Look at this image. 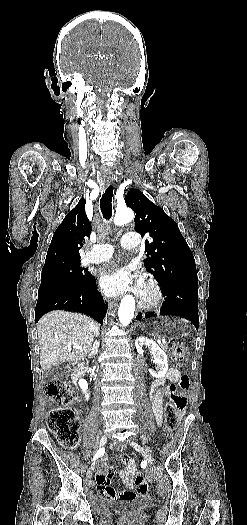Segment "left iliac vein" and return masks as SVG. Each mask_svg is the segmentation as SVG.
Listing matches in <instances>:
<instances>
[{"mask_svg": "<svg viewBox=\"0 0 247 525\" xmlns=\"http://www.w3.org/2000/svg\"><path fill=\"white\" fill-rule=\"evenodd\" d=\"M130 444L133 446V448L140 452L146 459V461L152 465L154 464V459L153 457L151 456V454H149L147 451H145L138 443H136L135 441L131 440L130 441Z\"/></svg>", "mask_w": 247, "mask_h": 525, "instance_id": "4c4485c4", "label": "left iliac vein"}]
</instances>
